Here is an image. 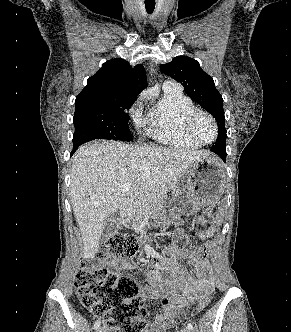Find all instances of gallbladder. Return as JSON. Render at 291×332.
I'll use <instances>...</instances> for the list:
<instances>
[{
	"mask_svg": "<svg viewBox=\"0 0 291 332\" xmlns=\"http://www.w3.org/2000/svg\"><path fill=\"white\" fill-rule=\"evenodd\" d=\"M119 228L118 218L114 215H110L104 223L103 226V237H109L117 233Z\"/></svg>",
	"mask_w": 291,
	"mask_h": 332,
	"instance_id": "gallbladder-1",
	"label": "gallbladder"
}]
</instances>
